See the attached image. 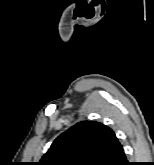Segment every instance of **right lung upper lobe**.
I'll list each match as a JSON object with an SVG mask.
<instances>
[{"mask_svg": "<svg viewBox=\"0 0 154 165\" xmlns=\"http://www.w3.org/2000/svg\"><path fill=\"white\" fill-rule=\"evenodd\" d=\"M119 146L112 129L82 121L58 136L38 165H109Z\"/></svg>", "mask_w": 154, "mask_h": 165, "instance_id": "obj_1", "label": "right lung upper lobe"}]
</instances>
